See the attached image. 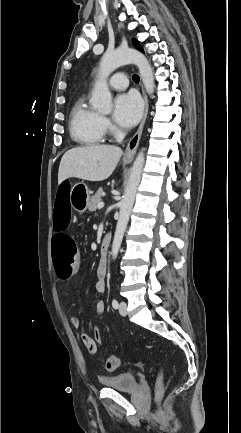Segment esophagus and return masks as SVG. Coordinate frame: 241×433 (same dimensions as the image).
I'll return each mask as SVG.
<instances>
[{
    "label": "esophagus",
    "instance_id": "1",
    "mask_svg": "<svg viewBox=\"0 0 241 433\" xmlns=\"http://www.w3.org/2000/svg\"><path fill=\"white\" fill-rule=\"evenodd\" d=\"M141 89H142V95H143V100H144V112H143V117L141 120V123L138 127L137 132L135 133V135L130 139V141L127 144L125 153H124V159L125 160H131L137 150V147L139 145V141H140V137L143 131V127L147 118V114H148V99H147V95L145 93L144 87L141 84Z\"/></svg>",
    "mask_w": 241,
    "mask_h": 433
}]
</instances>
